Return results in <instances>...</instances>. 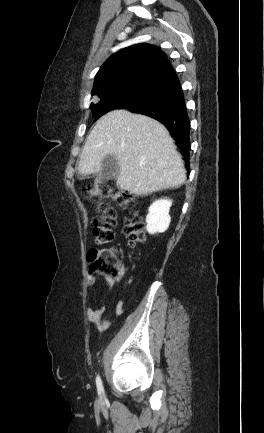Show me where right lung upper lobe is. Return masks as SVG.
Returning <instances> with one entry per match:
<instances>
[{
	"mask_svg": "<svg viewBox=\"0 0 264 433\" xmlns=\"http://www.w3.org/2000/svg\"><path fill=\"white\" fill-rule=\"evenodd\" d=\"M166 61V54L154 45L136 44L124 48L113 54L100 67L95 76L92 95L100 98L143 84Z\"/></svg>",
	"mask_w": 264,
	"mask_h": 433,
	"instance_id": "right-lung-upper-lobe-1",
	"label": "right lung upper lobe"
}]
</instances>
